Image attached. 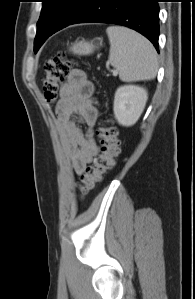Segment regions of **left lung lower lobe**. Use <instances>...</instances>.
Here are the masks:
<instances>
[{
	"label": "left lung lower lobe",
	"instance_id": "obj_1",
	"mask_svg": "<svg viewBox=\"0 0 195 299\" xmlns=\"http://www.w3.org/2000/svg\"><path fill=\"white\" fill-rule=\"evenodd\" d=\"M160 0H89L74 21L98 22L129 27L148 38L158 51Z\"/></svg>",
	"mask_w": 195,
	"mask_h": 299
}]
</instances>
